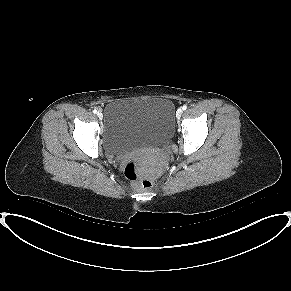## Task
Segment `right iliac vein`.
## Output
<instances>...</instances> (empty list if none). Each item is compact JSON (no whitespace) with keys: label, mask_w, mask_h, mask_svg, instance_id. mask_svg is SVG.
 I'll return each instance as SVG.
<instances>
[{"label":"right iliac vein","mask_w":291,"mask_h":291,"mask_svg":"<svg viewBox=\"0 0 291 291\" xmlns=\"http://www.w3.org/2000/svg\"><path fill=\"white\" fill-rule=\"evenodd\" d=\"M97 116L101 119L103 117V114L101 112H98Z\"/></svg>","instance_id":"1"}]
</instances>
